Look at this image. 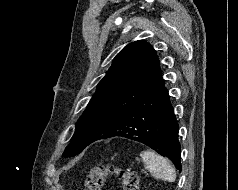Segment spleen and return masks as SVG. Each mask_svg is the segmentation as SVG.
<instances>
[{"label":"spleen","instance_id":"3e777b00","mask_svg":"<svg viewBox=\"0 0 238 190\" xmlns=\"http://www.w3.org/2000/svg\"><path fill=\"white\" fill-rule=\"evenodd\" d=\"M142 162L148 167L151 174L156 179H164L173 182L176 179L175 168L164 157L153 151H144L141 153Z\"/></svg>","mask_w":238,"mask_h":190}]
</instances>
